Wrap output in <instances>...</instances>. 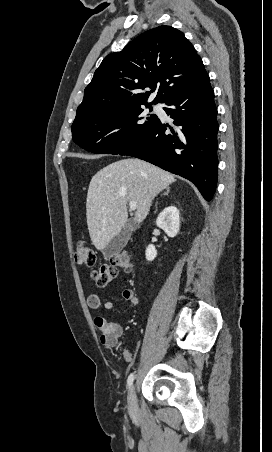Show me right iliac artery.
I'll use <instances>...</instances> for the list:
<instances>
[{
    "mask_svg": "<svg viewBox=\"0 0 272 452\" xmlns=\"http://www.w3.org/2000/svg\"><path fill=\"white\" fill-rule=\"evenodd\" d=\"M133 380H134V374L131 373V374L129 375V377H128V380H127V384H128L129 387L132 385Z\"/></svg>",
    "mask_w": 272,
    "mask_h": 452,
    "instance_id": "right-iliac-artery-1",
    "label": "right iliac artery"
}]
</instances>
